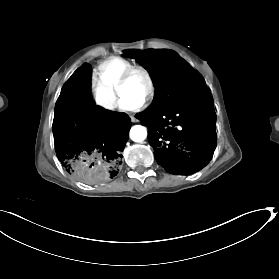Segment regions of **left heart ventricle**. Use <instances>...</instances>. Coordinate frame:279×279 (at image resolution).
<instances>
[{
	"mask_svg": "<svg viewBox=\"0 0 279 279\" xmlns=\"http://www.w3.org/2000/svg\"><path fill=\"white\" fill-rule=\"evenodd\" d=\"M148 85L144 76L140 74L134 75L128 84L123 88L121 92V99H126L129 101H141L143 102Z\"/></svg>",
	"mask_w": 279,
	"mask_h": 279,
	"instance_id": "b2bd125f",
	"label": "left heart ventricle"
}]
</instances>
